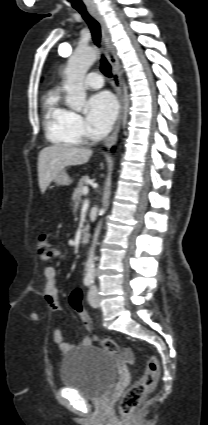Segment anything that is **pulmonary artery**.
Segmentation results:
<instances>
[{
    "mask_svg": "<svg viewBox=\"0 0 208 425\" xmlns=\"http://www.w3.org/2000/svg\"><path fill=\"white\" fill-rule=\"evenodd\" d=\"M85 86L91 89H99L103 86V78L97 72L89 73L85 78Z\"/></svg>",
    "mask_w": 208,
    "mask_h": 425,
    "instance_id": "obj_1",
    "label": "pulmonary artery"
}]
</instances>
